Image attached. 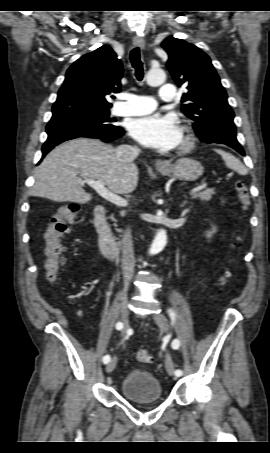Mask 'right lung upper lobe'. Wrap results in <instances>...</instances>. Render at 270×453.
Here are the masks:
<instances>
[{
    "mask_svg": "<svg viewBox=\"0 0 270 453\" xmlns=\"http://www.w3.org/2000/svg\"><path fill=\"white\" fill-rule=\"evenodd\" d=\"M122 75V63L107 45L82 56L67 70L52 118L109 110L111 104L105 96L120 91Z\"/></svg>",
    "mask_w": 270,
    "mask_h": 453,
    "instance_id": "1",
    "label": "right lung upper lobe"
}]
</instances>
